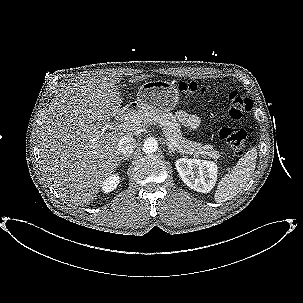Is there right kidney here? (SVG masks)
Returning <instances> with one entry per match:
<instances>
[{"instance_id":"right-kidney-1","label":"right kidney","mask_w":303,"mask_h":303,"mask_svg":"<svg viewBox=\"0 0 303 303\" xmlns=\"http://www.w3.org/2000/svg\"><path fill=\"white\" fill-rule=\"evenodd\" d=\"M119 184V176L111 175L102 183V191L104 193H109L116 189Z\"/></svg>"}]
</instances>
